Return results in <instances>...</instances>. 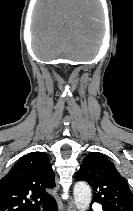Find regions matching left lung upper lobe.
Returning a JSON list of instances; mask_svg holds the SVG:
<instances>
[{"label": "left lung upper lobe", "instance_id": "obj_1", "mask_svg": "<svg viewBox=\"0 0 133 211\" xmlns=\"http://www.w3.org/2000/svg\"><path fill=\"white\" fill-rule=\"evenodd\" d=\"M75 179L86 181L92 186V201L100 203L103 211H133V193L114 164L103 154L90 153Z\"/></svg>", "mask_w": 133, "mask_h": 211}]
</instances>
